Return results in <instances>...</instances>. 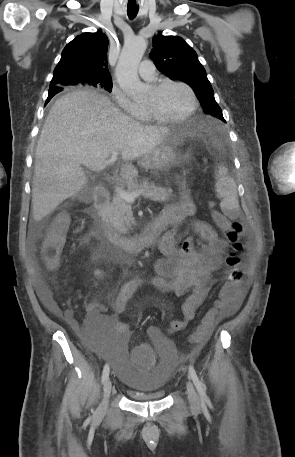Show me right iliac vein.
Segmentation results:
<instances>
[{
	"mask_svg": "<svg viewBox=\"0 0 295 457\" xmlns=\"http://www.w3.org/2000/svg\"><path fill=\"white\" fill-rule=\"evenodd\" d=\"M111 389H112L111 380H110V378H107L105 380V382H104L103 399H102V402H101L100 407H99V411L100 412H104L107 409L108 399H109V396H110V393H111Z\"/></svg>",
	"mask_w": 295,
	"mask_h": 457,
	"instance_id": "right-iliac-vein-1",
	"label": "right iliac vein"
}]
</instances>
